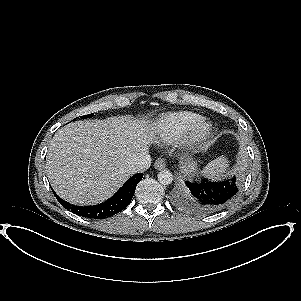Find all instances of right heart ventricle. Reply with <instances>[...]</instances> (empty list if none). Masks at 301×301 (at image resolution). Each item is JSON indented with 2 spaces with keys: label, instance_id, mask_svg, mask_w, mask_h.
I'll return each mask as SVG.
<instances>
[{
  "label": "right heart ventricle",
  "instance_id": "e07e8e85",
  "mask_svg": "<svg viewBox=\"0 0 301 301\" xmlns=\"http://www.w3.org/2000/svg\"><path fill=\"white\" fill-rule=\"evenodd\" d=\"M201 116L191 111L167 112L155 121L153 132L156 138L163 143L178 140Z\"/></svg>",
  "mask_w": 301,
  "mask_h": 301
}]
</instances>
